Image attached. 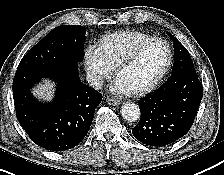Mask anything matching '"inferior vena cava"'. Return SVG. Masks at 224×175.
<instances>
[{"instance_id": "inferior-vena-cava-1", "label": "inferior vena cava", "mask_w": 224, "mask_h": 175, "mask_svg": "<svg viewBox=\"0 0 224 175\" xmlns=\"http://www.w3.org/2000/svg\"><path fill=\"white\" fill-rule=\"evenodd\" d=\"M86 80L88 84L94 89H101L103 86V80L101 76L97 74L88 73L86 75Z\"/></svg>"}]
</instances>
